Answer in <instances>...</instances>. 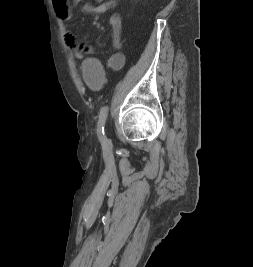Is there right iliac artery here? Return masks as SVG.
I'll return each mask as SVG.
<instances>
[{
  "instance_id": "right-iliac-artery-1",
  "label": "right iliac artery",
  "mask_w": 253,
  "mask_h": 267,
  "mask_svg": "<svg viewBox=\"0 0 253 267\" xmlns=\"http://www.w3.org/2000/svg\"><path fill=\"white\" fill-rule=\"evenodd\" d=\"M107 113H108V107L107 106L102 107V109L100 111V115H99L98 128H97L98 138H99L101 144L104 146H106L108 143L107 137H106L105 132H104V125H105V121L107 118Z\"/></svg>"
}]
</instances>
